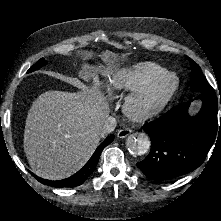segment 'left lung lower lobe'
Instances as JSON below:
<instances>
[{
  "label": "left lung lower lobe",
  "instance_id": "0a47b994",
  "mask_svg": "<svg viewBox=\"0 0 221 221\" xmlns=\"http://www.w3.org/2000/svg\"><path fill=\"white\" fill-rule=\"evenodd\" d=\"M197 98L203 104L196 116H189L187 102L143 126L150 136L151 150L137 167L148 178L164 181L193 171L204 162L216 137L221 138L215 91L199 93Z\"/></svg>",
  "mask_w": 221,
  "mask_h": 221
}]
</instances>
